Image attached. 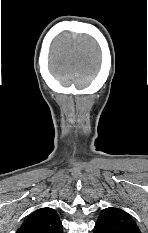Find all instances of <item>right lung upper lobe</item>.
I'll use <instances>...</instances> for the list:
<instances>
[{
	"mask_svg": "<svg viewBox=\"0 0 148 233\" xmlns=\"http://www.w3.org/2000/svg\"><path fill=\"white\" fill-rule=\"evenodd\" d=\"M16 233H63V227L55 210L45 207L33 212Z\"/></svg>",
	"mask_w": 148,
	"mask_h": 233,
	"instance_id": "cb5924a9",
	"label": "right lung upper lobe"
}]
</instances>
